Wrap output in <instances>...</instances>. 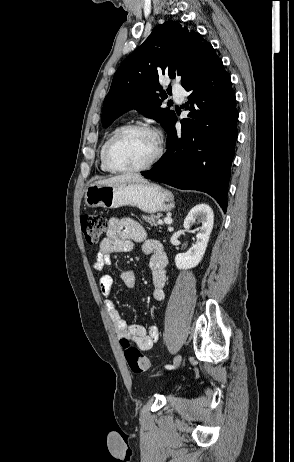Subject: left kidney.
I'll return each instance as SVG.
<instances>
[{"label":"left kidney","instance_id":"5707ae66","mask_svg":"<svg viewBox=\"0 0 294 462\" xmlns=\"http://www.w3.org/2000/svg\"><path fill=\"white\" fill-rule=\"evenodd\" d=\"M196 221L202 224L196 235V243L186 253L175 256L176 267L180 270L196 267L205 254L214 224V214L210 206L207 204L194 206L184 220V228L189 230Z\"/></svg>","mask_w":294,"mask_h":462}]
</instances>
